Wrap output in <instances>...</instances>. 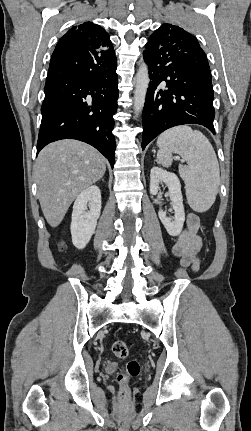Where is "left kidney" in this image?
Here are the masks:
<instances>
[{"label": "left kidney", "instance_id": "left-kidney-1", "mask_svg": "<svg viewBox=\"0 0 251 431\" xmlns=\"http://www.w3.org/2000/svg\"><path fill=\"white\" fill-rule=\"evenodd\" d=\"M160 183H165L168 187V193L175 215L174 220H171L166 216V213L160 209L158 211V216L168 234L170 236H178L182 231L185 221L180 181L174 173L165 171L159 167H153L150 172V193L152 195H156L158 193Z\"/></svg>", "mask_w": 251, "mask_h": 431}]
</instances>
